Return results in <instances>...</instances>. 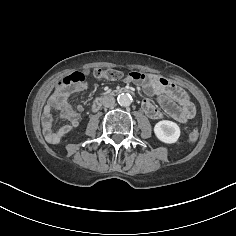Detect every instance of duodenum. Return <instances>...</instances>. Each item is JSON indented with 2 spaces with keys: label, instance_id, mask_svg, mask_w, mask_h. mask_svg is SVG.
I'll return each instance as SVG.
<instances>
[{
  "label": "duodenum",
  "instance_id": "obj_1",
  "mask_svg": "<svg viewBox=\"0 0 236 236\" xmlns=\"http://www.w3.org/2000/svg\"><path fill=\"white\" fill-rule=\"evenodd\" d=\"M127 92H130L127 88H120L116 91H114V94H121V93H127ZM106 95H99L93 102L92 104V111L95 112L97 111L100 107H101V104H102V100L103 98L105 97Z\"/></svg>",
  "mask_w": 236,
  "mask_h": 236
}]
</instances>
